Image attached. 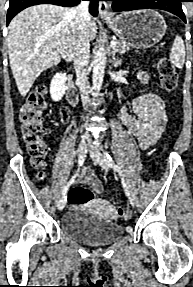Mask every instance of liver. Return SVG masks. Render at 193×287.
<instances>
[{"mask_svg":"<svg viewBox=\"0 0 193 287\" xmlns=\"http://www.w3.org/2000/svg\"><path fill=\"white\" fill-rule=\"evenodd\" d=\"M96 33V22L90 20L88 34L91 41ZM77 40V21L67 7L41 4L16 15L8 26L7 48L21 96L29 92L43 71L60 63V56L71 61Z\"/></svg>","mask_w":193,"mask_h":287,"instance_id":"obj_1","label":"liver"}]
</instances>
